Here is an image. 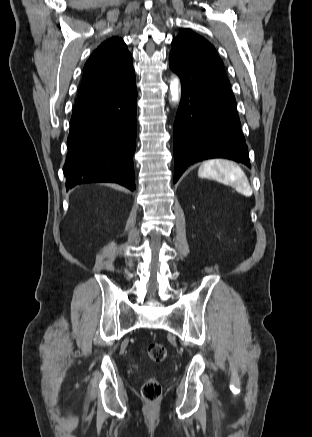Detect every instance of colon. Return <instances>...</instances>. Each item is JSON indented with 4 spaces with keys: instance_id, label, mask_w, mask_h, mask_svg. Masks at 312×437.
Wrapping results in <instances>:
<instances>
[{
    "instance_id": "colon-1",
    "label": "colon",
    "mask_w": 312,
    "mask_h": 437,
    "mask_svg": "<svg viewBox=\"0 0 312 437\" xmlns=\"http://www.w3.org/2000/svg\"><path fill=\"white\" fill-rule=\"evenodd\" d=\"M146 356L150 361L161 362L166 357V349L163 344L153 342L146 347ZM162 388L158 380L149 379L142 387V396L147 401H156L161 396Z\"/></svg>"
}]
</instances>
